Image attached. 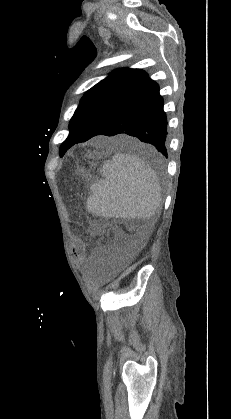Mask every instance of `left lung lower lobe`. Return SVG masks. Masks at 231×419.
Listing matches in <instances>:
<instances>
[{
  "instance_id": "1",
  "label": "left lung lower lobe",
  "mask_w": 231,
  "mask_h": 419,
  "mask_svg": "<svg viewBox=\"0 0 231 419\" xmlns=\"http://www.w3.org/2000/svg\"><path fill=\"white\" fill-rule=\"evenodd\" d=\"M167 121L159 86L147 77L111 110L82 141L97 135L128 134L156 147L167 157Z\"/></svg>"
}]
</instances>
